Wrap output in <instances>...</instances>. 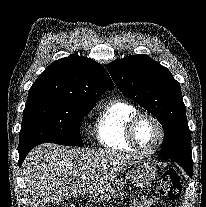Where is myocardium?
<instances>
[{
	"label": "myocardium",
	"instance_id": "myocardium-1",
	"mask_svg": "<svg viewBox=\"0 0 206 207\" xmlns=\"http://www.w3.org/2000/svg\"><path fill=\"white\" fill-rule=\"evenodd\" d=\"M143 118H148L151 119L155 124L157 125L159 132H160V137L157 145L151 149V150H144L142 149L135 137V129L138 124V122L143 119ZM125 136H126V141L128 145L137 153L144 155V156H149L153 155L156 152H158L161 147L163 146L166 138V132L163 123L161 120L156 117L155 115L148 113V112H138L136 113L127 123L126 128H125Z\"/></svg>",
	"mask_w": 206,
	"mask_h": 207
}]
</instances>
